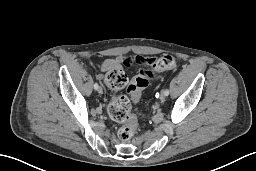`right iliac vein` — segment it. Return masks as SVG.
I'll return each mask as SVG.
<instances>
[{
    "mask_svg": "<svg viewBox=\"0 0 256 171\" xmlns=\"http://www.w3.org/2000/svg\"><path fill=\"white\" fill-rule=\"evenodd\" d=\"M97 90H98V93H99V94H102V93H103V89H102L101 87H99Z\"/></svg>",
    "mask_w": 256,
    "mask_h": 171,
    "instance_id": "1",
    "label": "right iliac vein"
}]
</instances>
